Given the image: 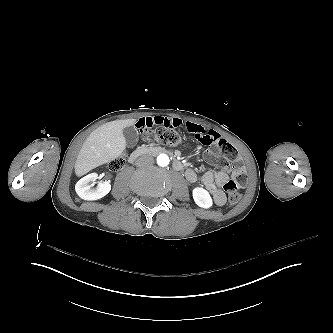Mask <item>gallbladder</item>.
Returning a JSON list of instances; mask_svg holds the SVG:
<instances>
[{
  "label": "gallbladder",
  "mask_w": 333,
  "mask_h": 333,
  "mask_svg": "<svg viewBox=\"0 0 333 333\" xmlns=\"http://www.w3.org/2000/svg\"><path fill=\"white\" fill-rule=\"evenodd\" d=\"M123 135L128 147H133L138 141V132L134 126H129L123 129Z\"/></svg>",
  "instance_id": "1"
}]
</instances>
